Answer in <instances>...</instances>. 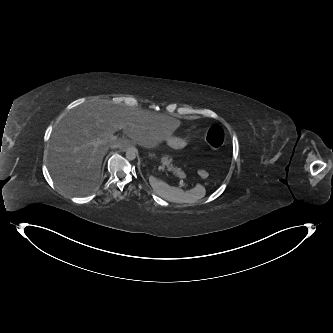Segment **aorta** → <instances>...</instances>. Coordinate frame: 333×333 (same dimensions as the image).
I'll return each mask as SVG.
<instances>
[{
	"label": "aorta",
	"mask_w": 333,
	"mask_h": 333,
	"mask_svg": "<svg viewBox=\"0 0 333 333\" xmlns=\"http://www.w3.org/2000/svg\"><path fill=\"white\" fill-rule=\"evenodd\" d=\"M136 156H137V151L135 148L130 147L126 150V158L128 160H130V161L134 160L136 158Z\"/></svg>",
	"instance_id": "aorta-1"
}]
</instances>
